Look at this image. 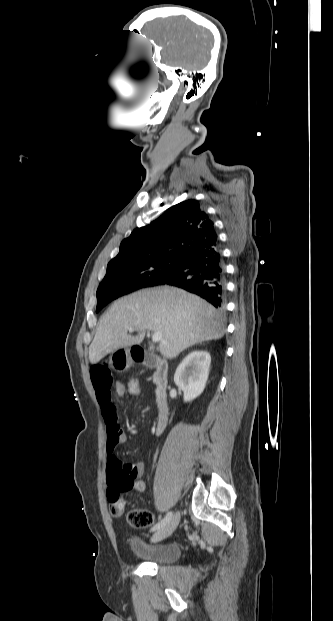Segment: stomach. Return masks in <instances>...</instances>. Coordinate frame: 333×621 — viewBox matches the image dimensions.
<instances>
[{
  "label": "stomach",
  "mask_w": 333,
  "mask_h": 621,
  "mask_svg": "<svg viewBox=\"0 0 333 621\" xmlns=\"http://www.w3.org/2000/svg\"><path fill=\"white\" fill-rule=\"evenodd\" d=\"M114 364L118 365L121 363L122 365H127L131 361L130 357V349L117 348L113 352Z\"/></svg>",
  "instance_id": "obj_1"
}]
</instances>
